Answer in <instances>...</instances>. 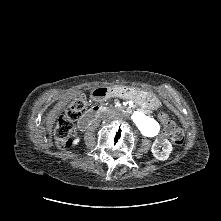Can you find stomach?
<instances>
[{
	"mask_svg": "<svg viewBox=\"0 0 221 221\" xmlns=\"http://www.w3.org/2000/svg\"><path fill=\"white\" fill-rule=\"evenodd\" d=\"M118 93L122 97L134 98L146 106H154L158 103V99L154 94L141 89L131 87H120Z\"/></svg>",
	"mask_w": 221,
	"mask_h": 221,
	"instance_id": "stomach-1",
	"label": "stomach"
}]
</instances>
